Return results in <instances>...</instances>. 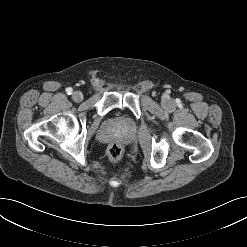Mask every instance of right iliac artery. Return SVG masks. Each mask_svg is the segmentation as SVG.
<instances>
[{"mask_svg":"<svg viewBox=\"0 0 247 247\" xmlns=\"http://www.w3.org/2000/svg\"><path fill=\"white\" fill-rule=\"evenodd\" d=\"M66 92H67L68 95H71L73 90H72V88L69 87V88L66 89Z\"/></svg>","mask_w":247,"mask_h":247,"instance_id":"1","label":"right iliac artery"}]
</instances>
